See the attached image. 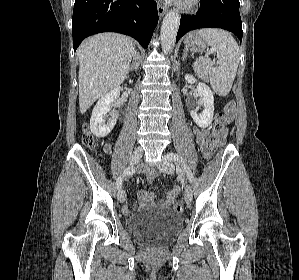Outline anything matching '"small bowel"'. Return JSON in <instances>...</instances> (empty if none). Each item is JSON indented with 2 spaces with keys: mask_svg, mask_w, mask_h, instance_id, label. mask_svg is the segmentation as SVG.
Here are the masks:
<instances>
[{
  "mask_svg": "<svg viewBox=\"0 0 299 280\" xmlns=\"http://www.w3.org/2000/svg\"><path fill=\"white\" fill-rule=\"evenodd\" d=\"M194 134H195V138H196V142L198 143L199 146H202L209 138L210 136V130L209 129H201V128H194ZM226 139V131H222V133L217 137V141H216V145L217 146H221L224 144ZM111 149V145L107 144L105 146V151L109 152ZM158 174L156 171H149L147 173V180L149 182L154 181L157 178ZM179 192L178 187H173L167 194L165 200L161 201L160 203H157L154 195L149 193L148 191H141L139 193V201H140V205L138 207V209L143 208V207H152V206H161V207H165L167 205H170L174 202L175 198L177 197ZM130 209L125 206L123 208V212L124 213H130Z\"/></svg>",
  "mask_w": 299,
  "mask_h": 280,
  "instance_id": "1",
  "label": "small bowel"
}]
</instances>
